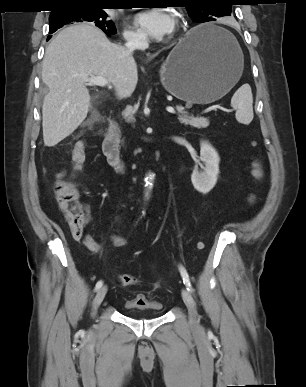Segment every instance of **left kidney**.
<instances>
[{"label":"left kidney","instance_id":"5707ae66","mask_svg":"<svg viewBox=\"0 0 306 387\" xmlns=\"http://www.w3.org/2000/svg\"><path fill=\"white\" fill-rule=\"evenodd\" d=\"M200 158L204 166L202 170L194 169L191 181L198 192L206 194L217 182L220 158L216 150L204 141L200 144Z\"/></svg>","mask_w":306,"mask_h":387}]
</instances>
